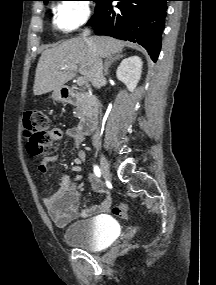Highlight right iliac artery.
<instances>
[{"label":"right iliac artery","mask_w":216,"mask_h":285,"mask_svg":"<svg viewBox=\"0 0 216 285\" xmlns=\"http://www.w3.org/2000/svg\"><path fill=\"white\" fill-rule=\"evenodd\" d=\"M94 173L97 177L101 176V171L98 166H94Z\"/></svg>","instance_id":"right-iliac-artery-1"}]
</instances>
